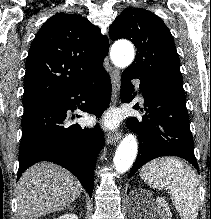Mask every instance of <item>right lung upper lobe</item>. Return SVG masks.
Returning <instances> with one entry per match:
<instances>
[{
    "mask_svg": "<svg viewBox=\"0 0 211 219\" xmlns=\"http://www.w3.org/2000/svg\"><path fill=\"white\" fill-rule=\"evenodd\" d=\"M109 41L77 14L58 13L35 36L26 60L23 106L51 100L99 73Z\"/></svg>",
    "mask_w": 211,
    "mask_h": 219,
    "instance_id": "1",
    "label": "right lung upper lobe"
}]
</instances>
